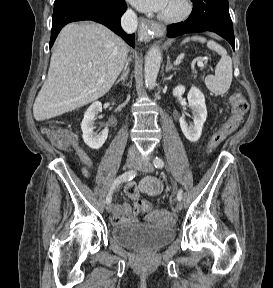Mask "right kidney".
Listing matches in <instances>:
<instances>
[{"label":"right kidney","instance_id":"right-kidney-1","mask_svg":"<svg viewBox=\"0 0 273 288\" xmlns=\"http://www.w3.org/2000/svg\"><path fill=\"white\" fill-rule=\"evenodd\" d=\"M102 111V104L98 101L94 102L85 112L81 123L83 132V140L88 147L97 150L100 149L108 137V128L106 127L100 134L94 133L95 116Z\"/></svg>","mask_w":273,"mask_h":288}]
</instances>
